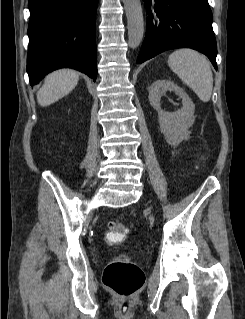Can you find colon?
<instances>
[{
	"label": "colon",
	"instance_id": "obj_1",
	"mask_svg": "<svg viewBox=\"0 0 245 319\" xmlns=\"http://www.w3.org/2000/svg\"><path fill=\"white\" fill-rule=\"evenodd\" d=\"M129 233V227L121 222H109L106 239L110 243L123 242ZM103 284L125 303H129L142 288L145 275L142 269L125 255L114 257L106 265Z\"/></svg>",
	"mask_w": 245,
	"mask_h": 319
}]
</instances>
